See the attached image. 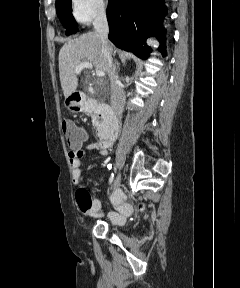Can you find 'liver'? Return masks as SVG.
Instances as JSON below:
<instances>
[{"instance_id":"liver-1","label":"liver","mask_w":240,"mask_h":288,"mask_svg":"<svg viewBox=\"0 0 240 288\" xmlns=\"http://www.w3.org/2000/svg\"><path fill=\"white\" fill-rule=\"evenodd\" d=\"M84 61L92 63L96 71L108 73L100 39L94 32L80 35L65 43L60 49L59 75L65 99L76 92L78 78L75 68Z\"/></svg>"}]
</instances>
